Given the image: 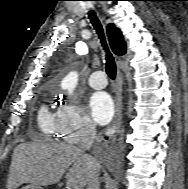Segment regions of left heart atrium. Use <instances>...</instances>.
Returning a JSON list of instances; mask_svg holds the SVG:
<instances>
[{"mask_svg":"<svg viewBox=\"0 0 188 189\" xmlns=\"http://www.w3.org/2000/svg\"><path fill=\"white\" fill-rule=\"evenodd\" d=\"M90 113L94 121L100 125L108 123L114 113V103L106 92H96L89 100Z\"/></svg>","mask_w":188,"mask_h":189,"instance_id":"obj_1","label":"left heart atrium"}]
</instances>
